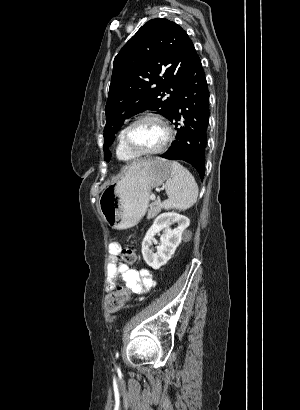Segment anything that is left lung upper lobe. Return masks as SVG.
<instances>
[{"label":"left lung upper lobe","instance_id":"5c2ea615","mask_svg":"<svg viewBox=\"0 0 300 410\" xmlns=\"http://www.w3.org/2000/svg\"><path fill=\"white\" fill-rule=\"evenodd\" d=\"M178 24L156 18L144 24L114 59L105 108L104 157L126 118L145 110L169 119L178 89L197 57ZM166 94H169L167 97Z\"/></svg>","mask_w":300,"mask_h":410}]
</instances>
